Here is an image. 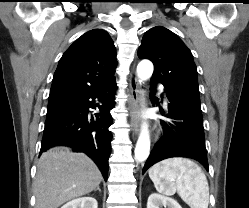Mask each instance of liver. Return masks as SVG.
Wrapping results in <instances>:
<instances>
[{
	"instance_id": "1",
	"label": "liver",
	"mask_w": 249,
	"mask_h": 208,
	"mask_svg": "<svg viewBox=\"0 0 249 208\" xmlns=\"http://www.w3.org/2000/svg\"><path fill=\"white\" fill-rule=\"evenodd\" d=\"M101 181L100 170L87 155L63 146L51 148L41 155L37 164L35 208H58L89 194Z\"/></svg>"
}]
</instances>
